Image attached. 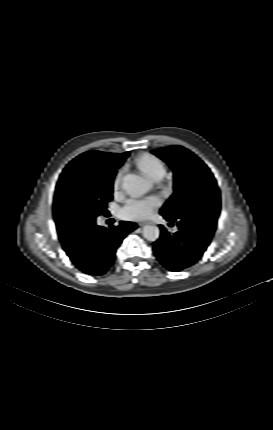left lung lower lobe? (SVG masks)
Listing matches in <instances>:
<instances>
[{
  "instance_id": "left-lung-lower-lobe-1",
  "label": "left lung lower lobe",
  "mask_w": 273,
  "mask_h": 430,
  "mask_svg": "<svg viewBox=\"0 0 273 430\" xmlns=\"http://www.w3.org/2000/svg\"><path fill=\"white\" fill-rule=\"evenodd\" d=\"M217 207L202 205L196 212L195 220L201 223L210 224L216 221ZM161 213V212H160ZM163 217L171 222H175L178 231L170 234L162 225L160 238L153 243L154 253L164 267L173 272H179L195 264L203 255L210 244L209 233L200 230L198 227L176 221L173 217L161 213Z\"/></svg>"
}]
</instances>
